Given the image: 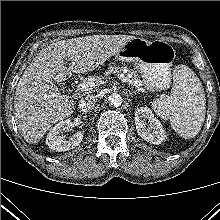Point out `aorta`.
Returning a JSON list of instances; mask_svg holds the SVG:
<instances>
[{
  "label": "aorta",
  "mask_w": 220,
  "mask_h": 220,
  "mask_svg": "<svg viewBox=\"0 0 220 220\" xmlns=\"http://www.w3.org/2000/svg\"><path fill=\"white\" fill-rule=\"evenodd\" d=\"M110 104L114 107H118L122 104V97L119 94H113L109 98Z\"/></svg>",
  "instance_id": "1"
}]
</instances>
